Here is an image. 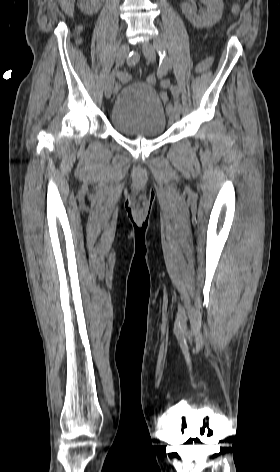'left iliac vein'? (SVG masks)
<instances>
[{"label":"left iliac vein","instance_id":"4c4485c4","mask_svg":"<svg viewBox=\"0 0 280 472\" xmlns=\"http://www.w3.org/2000/svg\"><path fill=\"white\" fill-rule=\"evenodd\" d=\"M142 51L144 56L149 62H154L155 61V47L149 42H145L142 45ZM168 115L171 120L176 121L179 119L180 116V111L173 106L172 104H169L167 107Z\"/></svg>","mask_w":280,"mask_h":472}]
</instances>
